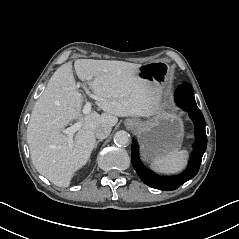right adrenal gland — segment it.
<instances>
[{"label":"right adrenal gland","mask_w":239,"mask_h":239,"mask_svg":"<svg viewBox=\"0 0 239 239\" xmlns=\"http://www.w3.org/2000/svg\"><path fill=\"white\" fill-rule=\"evenodd\" d=\"M101 141H102V139H100V140L97 141V146H98V143L101 142ZM97 146H96V147H97Z\"/></svg>","instance_id":"right-adrenal-gland-1"}]
</instances>
